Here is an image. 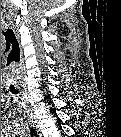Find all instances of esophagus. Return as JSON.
<instances>
[{"instance_id": "34e87169", "label": "esophagus", "mask_w": 121, "mask_h": 137, "mask_svg": "<svg viewBox=\"0 0 121 137\" xmlns=\"http://www.w3.org/2000/svg\"><path fill=\"white\" fill-rule=\"evenodd\" d=\"M22 94H23V97L26 98V92L23 90L22 91ZM30 122L33 126H36V120H35V117L33 116H30Z\"/></svg>"}]
</instances>
